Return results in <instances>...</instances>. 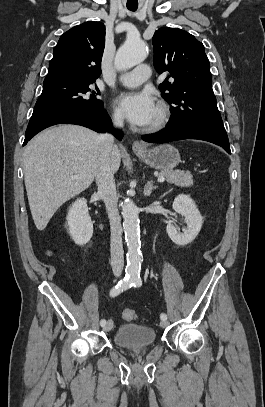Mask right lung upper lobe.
I'll list each match as a JSON object with an SVG mask.
<instances>
[{
  "label": "right lung upper lobe",
  "instance_id": "cb5924a9",
  "mask_svg": "<svg viewBox=\"0 0 265 407\" xmlns=\"http://www.w3.org/2000/svg\"><path fill=\"white\" fill-rule=\"evenodd\" d=\"M105 25L88 21L64 33L53 51L46 78L95 80L101 74Z\"/></svg>",
  "mask_w": 265,
  "mask_h": 407
}]
</instances>
